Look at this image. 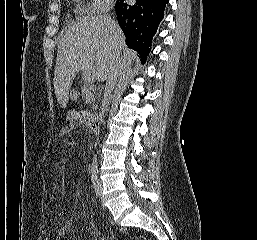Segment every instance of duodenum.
I'll list each match as a JSON object with an SVG mask.
<instances>
[{
    "instance_id": "duodenum-1",
    "label": "duodenum",
    "mask_w": 257,
    "mask_h": 240,
    "mask_svg": "<svg viewBox=\"0 0 257 240\" xmlns=\"http://www.w3.org/2000/svg\"><path fill=\"white\" fill-rule=\"evenodd\" d=\"M101 121H102V116L100 114H96L91 118V127L95 133V135L100 134L101 130Z\"/></svg>"
}]
</instances>
